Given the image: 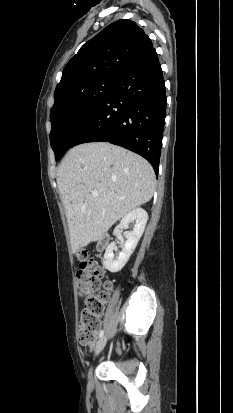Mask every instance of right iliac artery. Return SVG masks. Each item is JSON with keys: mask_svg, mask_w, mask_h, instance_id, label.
Masks as SVG:
<instances>
[{"mask_svg": "<svg viewBox=\"0 0 233 413\" xmlns=\"http://www.w3.org/2000/svg\"><path fill=\"white\" fill-rule=\"evenodd\" d=\"M103 334H104V331L101 330L100 333H99V338H101L103 336Z\"/></svg>", "mask_w": 233, "mask_h": 413, "instance_id": "obj_1", "label": "right iliac artery"}]
</instances>
